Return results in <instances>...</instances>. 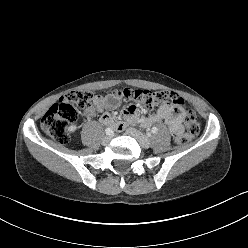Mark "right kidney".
Instances as JSON below:
<instances>
[{
  "label": "right kidney",
  "instance_id": "ca27d5eb",
  "mask_svg": "<svg viewBox=\"0 0 248 248\" xmlns=\"http://www.w3.org/2000/svg\"><path fill=\"white\" fill-rule=\"evenodd\" d=\"M76 129H77V126L76 125H71V126H69L68 131L70 133H73V132H75Z\"/></svg>",
  "mask_w": 248,
  "mask_h": 248
}]
</instances>
